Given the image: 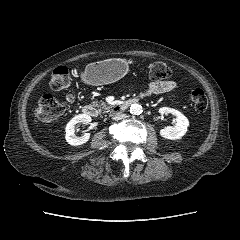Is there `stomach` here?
Wrapping results in <instances>:
<instances>
[{"instance_id": "0dacf381", "label": "stomach", "mask_w": 240, "mask_h": 240, "mask_svg": "<svg viewBox=\"0 0 240 240\" xmlns=\"http://www.w3.org/2000/svg\"><path fill=\"white\" fill-rule=\"evenodd\" d=\"M127 71V64L120 59H106L86 66L83 78L91 85L113 83L122 78Z\"/></svg>"}]
</instances>
